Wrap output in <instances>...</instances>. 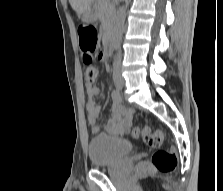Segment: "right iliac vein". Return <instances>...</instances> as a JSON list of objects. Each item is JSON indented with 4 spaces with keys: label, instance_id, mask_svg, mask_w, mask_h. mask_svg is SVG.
I'll return each mask as SVG.
<instances>
[{
    "label": "right iliac vein",
    "instance_id": "63e3f726",
    "mask_svg": "<svg viewBox=\"0 0 223 191\" xmlns=\"http://www.w3.org/2000/svg\"><path fill=\"white\" fill-rule=\"evenodd\" d=\"M122 85H123V83H122L121 81H119V80H115V86H116L117 88H121Z\"/></svg>",
    "mask_w": 223,
    "mask_h": 191
}]
</instances>
